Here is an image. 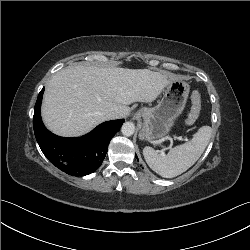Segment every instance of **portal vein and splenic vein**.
<instances>
[{"label":"portal vein and splenic vein","mask_w":250,"mask_h":250,"mask_svg":"<svg viewBox=\"0 0 250 250\" xmlns=\"http://www.w3.org/2000/svg\"><path fill=\"white\" fill-rule=\"evenodd\" d=\"M175 139H178V140H181V141H188V139L186 137H182V136L175 137Z\"/></svg>","instance_id":"18ae733b"}]
</instances>
